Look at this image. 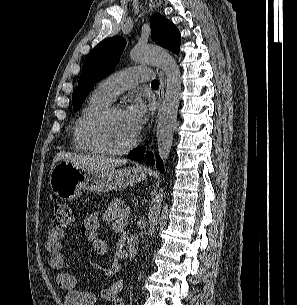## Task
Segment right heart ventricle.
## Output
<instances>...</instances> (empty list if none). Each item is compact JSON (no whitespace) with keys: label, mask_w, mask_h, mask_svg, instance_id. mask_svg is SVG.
Here are the masks:
<instances>
[{"label":"right heart ventricle","mask_w":297,"mask_h":305,"mask_svg":"<svg viewBox=\"0 0 297 305\" xmlns=\"http://www.w3.org/2000/svg\"><path fill=\"white\" fill-rule=\"evenodd\" d=\"M112 101L105 97L96 88L88 97L81 110L79 111L72 129V145L77 151L86 153H100V150L92 145L85 137L83 132L86 120L99 109L108 106Z\"/></svg>","instance_id":"e07e8e85"}]
</instances>
